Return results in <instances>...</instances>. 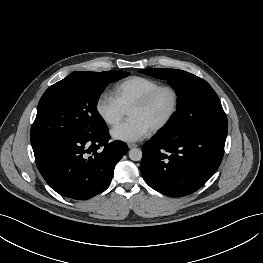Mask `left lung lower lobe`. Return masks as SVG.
<instances>
[{"label":"left lung lower lobe","mask_w":263,"mask_h":263,"mask_svg":"<svg viewBox=\"0 0 263 263\" xmlns=\"http://www.w3.org/2000/svg\"><path fill=\"white\" fill-rule=\"evenodd\" d=\"M227 131V126L184 134L161 131L143 145V179L164 195L181 197L195 192L218 169Z\"/></svg>","instance_id":"obj_1"}]
</instances>
